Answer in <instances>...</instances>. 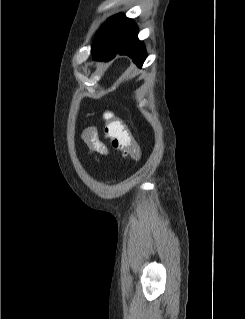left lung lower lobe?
Wrapping results in <instances>:
<instances>
[{
	"label": "left lung lower lobe",
	"mask_w": 245,
	"mask_h": 319,
	"mask_svg": "<svg viewBox=\"0 0 245 319\" xmlns=\"http://www.w3.org/2000/svg\"><path fill=\"white\" fill-rule=\"evenodd\" d=\"M137 34L138 28L133 20H131L112 48L102 50L92 49V54L97 60H110L116 54L128 55L141 67L147 55L143 43L137 38Z\"/></svg>",
	"instance_id": "left-lung-lower-lobe-1"
}]
</instances>
